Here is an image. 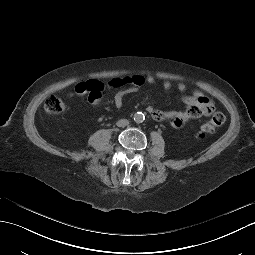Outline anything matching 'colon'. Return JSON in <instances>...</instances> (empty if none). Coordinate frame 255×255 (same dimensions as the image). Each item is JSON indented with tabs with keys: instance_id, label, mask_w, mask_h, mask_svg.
<instances>
[{
	"instance_id": "1",
	"label": "colon",
	"mask_w": 255,
	"mask_h": 255,
	"mask_svg": "<svg viewBox=\"0 0 255 255\" xmlns=\"http://www.w3.org/2000/svg\"><path fill=\"white\" fill-rule=\"evenodd\" d=\"M66 109L65 102L57 97L50 96L45 102V110L49 114H59ZM225 115L221 112H216L206 122L202 123L199 127V135L204 136L215 132V130L225 123Z\"/></svg>"
}]
</instances>
